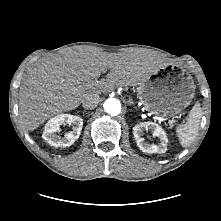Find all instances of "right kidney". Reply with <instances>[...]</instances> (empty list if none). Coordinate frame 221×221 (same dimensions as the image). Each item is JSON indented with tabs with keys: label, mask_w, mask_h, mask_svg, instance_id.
<instances>
[{
	"label": "right kidney",
	"mask_w": 221,
	"mask_h": 221,
	"mask_svg": "<svg viewBox=\"0 0 221 221\" xmlns=\"http://www.w3.org/2000/svg\"><path fill=\"white\" fill-rule=\"evenodd\" d=\"M69 124L72 126V131L66 133L63 138L58 136L56 132L60 131V125ZM83 127V119L80 116L71 114H60L51 118L44 127L43 139L55 147H69L80 136Z\"/></svg>",
	"instance_id": "ca27d5eb"
}]
</instances>
